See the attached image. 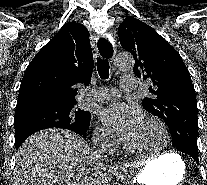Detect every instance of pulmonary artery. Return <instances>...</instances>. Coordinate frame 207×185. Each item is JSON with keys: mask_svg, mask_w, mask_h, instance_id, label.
Masks as SVG:
<instances>
[{"mask_svg": "<svg viewBox=\"0 0 207 185\" xmlns=\"http://www.w3.org/2000/svg\"><path fill=\"white\" fill-rule=\"evenodd\" d=\"M122 91L129 92L135 91V86L138 82L135 81L134 77H122ZM120 91L113 87H103L98 90H93L88 94V98L98 102H108L118 98Z\"/></svg>", "mask_w": 207, "mask_h": 185, "instance_id": "pulmonary-artery-1", "label": "pulmonary artery"}]
</instances>
